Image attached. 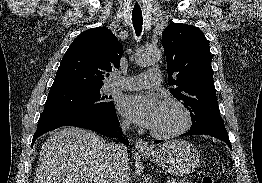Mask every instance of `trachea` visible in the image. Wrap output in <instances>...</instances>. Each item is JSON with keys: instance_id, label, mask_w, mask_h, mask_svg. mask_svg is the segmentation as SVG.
Wrapping results in <instances>:
<instances>
[{"instance_id": "obj_1", "label": "trachea", "mask_w": 262, "mask_h": 183, "mask_svg": "<svg viewBox=\"0 0 262 183\" xmlns=\"http://www.w3.org/2000/svg\"><path fill=\"white\" fill-rule=\"evenodd\" d=\"M133 26L137 36H140L142 32L143 17L141 11L132 12Z\"/></svg>"}]
</instances>
